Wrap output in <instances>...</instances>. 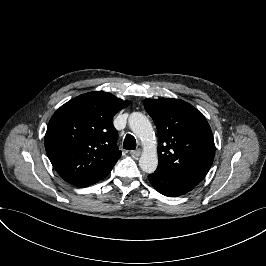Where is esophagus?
I'll return each instance as SVG.
<instances>
[{"instance_id":"1","label":"esophagus","mask_w":266,"mask_h":266,"mask_svg":"<svg viewBox=\"0 0 266 266\" xmlns=\"http://www.w3.org/2000/svg\"><path fill=\"white\" fill-rule=\"evenodd\" d=\"M130 154H131V156H133V157H139L140 156V154H141V150H132L131 152H130Z\"/></svg>"}]
</instances>
